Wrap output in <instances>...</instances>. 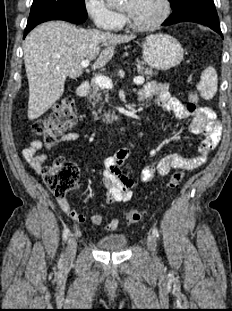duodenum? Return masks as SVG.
Segmentation results:
<instances>
[{"label":"duodenum","mask_w":232,"mask_h":311,"mask_svg":"<svg viewBox=\"0 0 232 311\" xmlns=\"http://www.w3.org/2000/svg\"><path fill=\"white\" fill-rule=\"evenodd\" d=\"M89 91V82L84 80L80 83L77 89V95L80 97L86 96ZM107 134H111V131H106Z\"/></svg>","instance_id":"duodenum-1"}]
</instances>
